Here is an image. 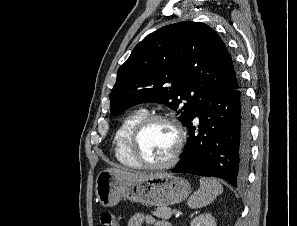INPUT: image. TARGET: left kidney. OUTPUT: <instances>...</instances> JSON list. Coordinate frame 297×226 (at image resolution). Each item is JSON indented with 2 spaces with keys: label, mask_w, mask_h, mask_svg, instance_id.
<instances>
[{
  "label": "left kidney",
  "mask_w": 297,
  "mask_h": 226,
  "mask_svg": "<svg viewBox=\"0 0 297 226\" xmlns=\"http://www.w3.org/2000/svg\"><path fill=\"white\" fill-rule=\"evenodd\" d=\"M190 226H216V221L210 213H203L196 216Z\"/></svg>",
  "instance_id": "left-kidney-1"
}]
</instances>
